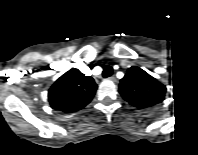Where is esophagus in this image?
I'll list each match as a JSON object with an SVG mask.
<instances>
[{"instance_id": "obj_1", "label": "esophagus", "mask_w": 198, "mask_h": 155, "mask_svg": "<svg viewBox=\"0 0 198 155\" xmlns=\"http://www.w3.org/2000/svg\"><path fill=\"white\" fill-rule=\"evenodd\" d=\"M109 79H110V80H113V81L115 80V78H114V77H110Z\"/></svg>"}]
</instances>
